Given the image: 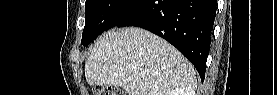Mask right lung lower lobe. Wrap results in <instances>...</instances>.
<instances>
[{"instance_id": "98d812e1", "label": "right lung lower lobe", "mask_w": 277, "mask_h": 95, "mask_svg": "<svg viewBox=\"0 0 277 95\" xmlns=\"http://www.w3.org/2000/svg\"><path fill=\"white\" fill-rule=\"evenodd\" d=\"M216 0H143L115 27L137 26L175 46L204 81Z\"/></svg>"}]
</instances>
